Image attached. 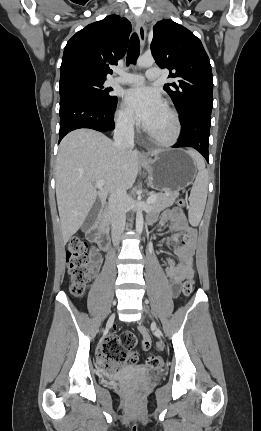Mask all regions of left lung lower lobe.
<instances>
[{"label": "left lung lower lobe", "instance_id": "left-lung-lower-lobe-1", "mask_svg": "<svg viewBox=\"0 0 261 431\" xmlns=\"http://www.w3.org/2000/svg\"><path fill=\"white\" fill-rule=\"evenodd\" d=\"M211 110L199 108L181 119V134L173 147H193L209 162L208 146Z\"/></svg>", "mask_w": 261, "mask_h": 431}]
</instances>
